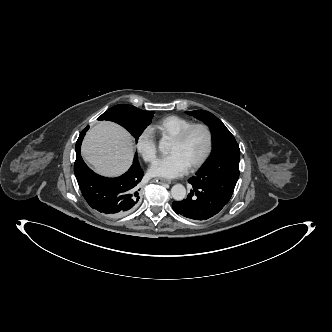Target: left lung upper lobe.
<instances>
[{
  "instance_id": "left-lung-upper-lobe-1",
  "label": "left lung upper lobe",
  "mask_w": 332,
  "mask_h": 332,
  "mask_svg": "<svg viewBox=\"0 0 332 332\" xmlns=\"http://www.w3.org/2000/svg\"><path fill=\"white\" fill-rule=\"evenodd\" d=\"M209 126L213 152L193 178L215 193L230 200L239 178L240 149L230 131L212 113L205 110L187 111Z\"/></svg>"
}]
</instances>
